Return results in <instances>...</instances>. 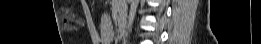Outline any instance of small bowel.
Segmentation results:
<instances>
[{"label":"small bowel","instance_id":"1","mask_svg":"<svg viewBox=\"0 0 261 44\" xmlns=\"http://www.w3.org/2000/svg\"><path fill=\"white\" fill-rule=\"evenodd\" d=\"M120 9H123L125 11V4L123 2L118 3V6H117L118 12L120 11Z\"/></svg>","mask_w":261,"mask_h":44}]
</instances>
